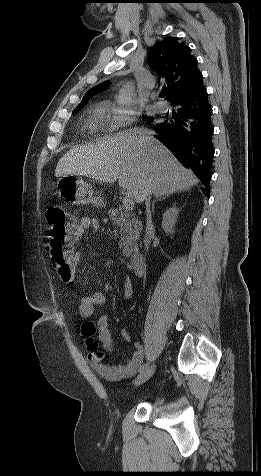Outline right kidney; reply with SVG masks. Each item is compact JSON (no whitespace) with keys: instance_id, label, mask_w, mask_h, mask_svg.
Listing matches in <instances>:
<instances>
[{"instance_id":"ca27d5eb","label":"right kidney","mask_w":261,"mask_h":476,"mask_svg":"<svg viewBox=\"0 0 261 476\" xmlns=\"http://www.w3.org/2000/svg\"><path fill=\"white\" fill-rule=\"evenodd\" d=\"M179 214L177 207H172L163 214L162 228L165 233L172 234L174 232V225Z\"/></svg>"}]
</instances>
